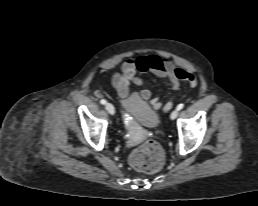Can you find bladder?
<instances>
[{
	"label": "bladder",
	"instance_id": "obj_1",
	"mask_svg": "<svg viewBox=\"0 0 258 206\" xmlns=\"http://www.w3.org/2000/svg\"><path fill=\"white\" fill-rule=\"evenodd\" d=\"M121 105L125 112L144 127L155 128L160 122L159 113L136 93L124 97Z\"/></svg>",
	"mask_w": 258,
	"mask_h": 206
}]
</instances>
